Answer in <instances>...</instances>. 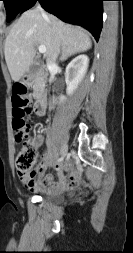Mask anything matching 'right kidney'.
Here are the masks:
<instances>
[{
	"instance_id": "right-kidney-1",
	"label": "right kidney",
	"mask_w": 133,
	"mask_h": 253,
	"mask_svg": "<svg viewBox=\"0 0 133 253\" xmlns=\"http://www.w3.org/2000/svg\"><path fill=\"white\" fill-rule=\"evenodd\" d=\"M88 63L89 58L86 55H79L67 65L65 72L67 94H72L77 88L86 73ZM59 100L62 102L65 100V97L60 96Z\"/></svg>"
}]
</instances>
